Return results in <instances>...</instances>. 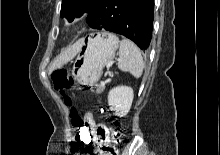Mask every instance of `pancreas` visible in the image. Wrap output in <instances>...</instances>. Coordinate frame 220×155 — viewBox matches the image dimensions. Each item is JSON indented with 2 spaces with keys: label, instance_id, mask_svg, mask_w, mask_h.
<instances>
[{
  "label": "pancreas",
  "instance_id": "pancreas-1",
  "mask_svg": "<svg viewBox=\"0 0 220 155\" xmlns=\"http://www.w3.org/2000/svg\"><path fill=\"white\" fill-rule=\"evenodd\" d=\"M103 90H104V86L98 85L96 92H97L98 94H100V93L103 92Z\"/></svg>",
  "mask_w": 220,
  "mask_h": 155
}]
</instances>
